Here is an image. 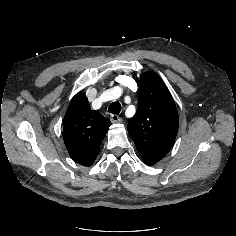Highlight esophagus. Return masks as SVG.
Wrapping results in <instances>:
<instances>
[{"mask_svg":"<svg viewBox=\"0 0 236 236\" xmlns=\"http://www.w3.org/2000/svg\"><path fill=\"white\" fill-rule=\"evenodd\" d=\"M110 120L112 123H120L122 121L121 118L116 114H112Z\"/></svg>","mask_w":236,"mask_h":236,"instance_id":"1","label":"esophagus"}]
</instances>
